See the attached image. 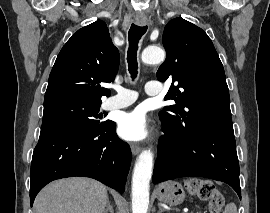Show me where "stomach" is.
<instances>
[{"label": "stomach", "mask_w": 270, "mask_h": 213, "mask_svg": "<svg viewBox=\"0 0 270 213\" xmlns=\"http://www.w3.org/2000/svg\"><path fill=\"white\" fill-rule=\"evenodd\" d=\"M156 196L161 202L169 205H178L183 202L185 192L178 182L168 181L157 187Z\"/></svg>", "instance_id": "stomach-1"}]
</instances>
